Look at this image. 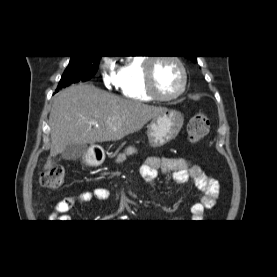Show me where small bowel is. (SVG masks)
<instances>
[{"label":"small bowel","mask_w":277,"mask_h":277,"mask_svg":"<svg viewBox=\"0 0 277 277\" xmlns=\"http://www.w3.org/2000/svg\"><path fill=\"white\" fill-rule=\"evenodd\" d=\"M173 175L175 182L184 185L192 181L202 192L201 200L191 207L193 219L201 220L208 209L214 207L220 196L219 182L208 176L199 166L182 157L157 158L150 157L140 167V175L150 184L154 185L158 172ZM112 193L107 188L98 187L92 190H83L61 199L49 216L52 222L70 219L68 212L77 204H86L92 200L105 201L110 199Z\"/></svg>","instance_id":"c3829d8e"}]
</instances>
